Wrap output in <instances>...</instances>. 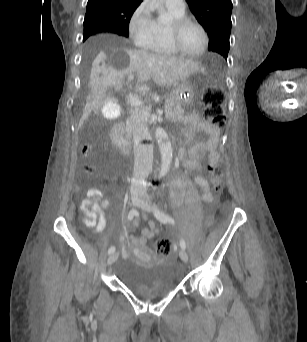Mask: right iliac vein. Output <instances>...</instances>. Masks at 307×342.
I'll return each instance as SVG.
<instances>
[{
	"label": "right iliac vein",
	"mask_w": 307,
	"mask_h": 342,
	"mask_svg": "<svg viewBox=\"0 0 307 342\" xmlns=\"http://www.w3.org/2000/svg\"><path fill=\"white\" fill-rule=\"evenodd\" d=\"M140 202H141V199L139 197H133L132 196V204L134 206H138L140 204ZM118 255H119L118 252L111 253V255L108 257L107 264L108 265L113 264L117 260Z\"/></svg>",
	"instance_id": "63e3f726"
}]
</instances>
